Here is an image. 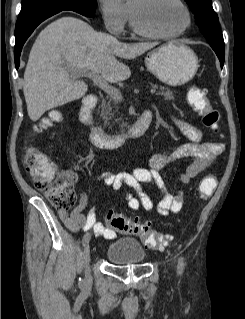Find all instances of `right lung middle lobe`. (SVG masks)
<instances>
[{
    "instance_id": "obj_1",
    "label": "right lung middle lobe",
    "mask_w": 245,
    "mask_h": 319,
    "mask_svg": "<svg viewBox=\"0 0 245 319\" xmlns=\"http://www.w3.org/2000/svg\"><path fill=\"white\" fill-rule=\"evenodd\" d=\"M96 0H22V8L18 20L56 9H69L84 16L95 14Z\"/></svg>"
}]
</instances>
